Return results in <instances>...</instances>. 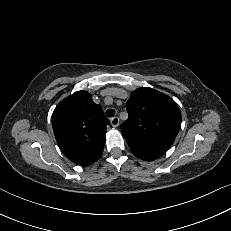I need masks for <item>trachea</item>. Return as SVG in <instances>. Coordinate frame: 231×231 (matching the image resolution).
<instances>
[{"mask_svg": "<svg viewBox=\"0 0 231 231\" xmlns=\"http://www.w3.org/2000/svg\"><path fill=\"white\" fill-rule=\"evenodd\" d=\"M107 117H113L115 115V110L114 109H108L106 111Z\"/></svg>", "mask_w": 231, "mask_h": 231, "instance_id": "trachea-1", "label": "trachea"}]
</instances>
